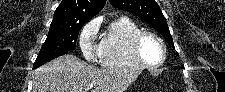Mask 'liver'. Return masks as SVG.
<instances>
[{
	"mask_svg": "<svg viewBox=\"0 0 225 92\" xmlns=\"http://www.w3.org/2000/svg\"><path fill=\"white\" fill-rule=\"evenodd\" d=\"M135 69H96L74 55H64L34 72L33 92H124L139 76Z\"/></svg>",
	"mask_w": 225,
	"mask_h": 92,
	"instance_id": "1",
	"label": "liver"
}]
</instances>
